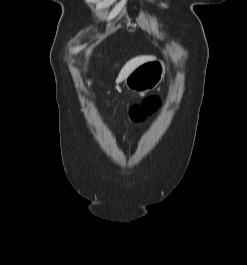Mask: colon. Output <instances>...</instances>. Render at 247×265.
Returning <instances> with one entry per match:
<instances>
[{
	"mask_svg": "<svg viewBox=\"0 0 247 265\" xmlns=\"http://www.w3.org/2000/svg\"><path fill=\"white\" fill-rule=\"evenodd\" d=\"M160 106V99L157 97H148L142 103L133 106L130 109L129 117L133 122L144 121L152 115Z\"/></svg>",
	"mask_w": 247,
	"mask_h": 265,
	"instance_id": "1",
	"label": "colon"
}]
</instances>
